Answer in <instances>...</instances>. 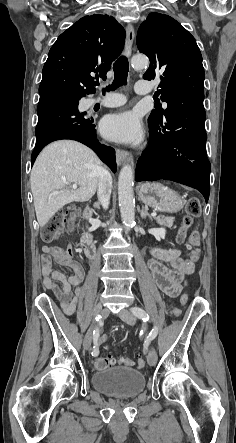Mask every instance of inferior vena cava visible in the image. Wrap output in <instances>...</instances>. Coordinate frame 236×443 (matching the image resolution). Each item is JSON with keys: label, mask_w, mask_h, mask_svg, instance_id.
Returning <instances> with one entry per match:
<instances>
[{"label": "inferior vena cava", "mask_w": 236, "mask_h": 443, "mask_svg": "<svg viewBox=\"0 0 236 443\" xmlns=\"http://www.w3.org/2000/svg\"><path fill=\"white\" fill-rule=\"evenodd\" d=\"M112 190V177L105 168H101L98 183V199L104 209H107L110 203V195Z\"/></svg>", "instance_id": "inferior-vena-cava-1"}]
</instances>
